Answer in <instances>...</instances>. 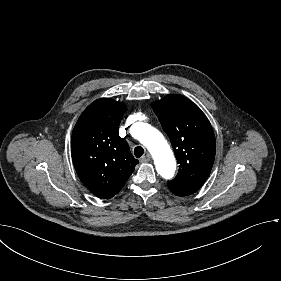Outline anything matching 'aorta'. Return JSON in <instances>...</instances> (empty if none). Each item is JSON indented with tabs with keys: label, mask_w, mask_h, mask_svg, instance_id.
<instances>
[{
	"label": "aorta",
	"mask_w": 281,
	"mask_h": 281,
	"mask_svg": "<svg viewBox=\"0 0 281 281\" xmlns=\"http://www.w3.org/2000/svg\"><path fill=\"white\" fill-rule=\"evenodd\" d=\"M136 125L139 131L138 138L152 155L157 172L165 179L172 178L176 170V162L162 133L143 122Z\"/></svg>",
	"instance_id": "obj_1"
}]
</instances>
